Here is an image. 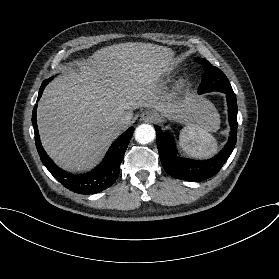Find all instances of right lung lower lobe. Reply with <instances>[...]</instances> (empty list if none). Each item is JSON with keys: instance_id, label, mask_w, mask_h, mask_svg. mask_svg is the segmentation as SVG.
<instances>
[{"instance_id": "obj_1", "label": "right lung lower lobe", "mask_w": 279, "mask_h": 279, "mask_svg": "<svg viewBox=\"0 0 279 279\" xmlns=\"http://www.w3.org/2000/svg\"><path fill=\"white\" fill-rule=\"evenodd\" d=\"M49 80H45L42 83L37 101L40 99ZM36 110L37 105L32 113L37 151L45 167L64 187L75 193L90 195L99 193L114 184L120 171V164L124 153L134 132L133 127H130L112 144L99 166L90 172L74 175L59 168L43 149L37 128Z\"/></svg>"}]
</instances>
